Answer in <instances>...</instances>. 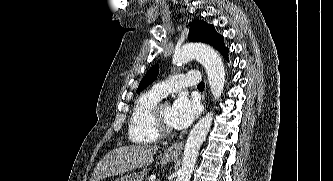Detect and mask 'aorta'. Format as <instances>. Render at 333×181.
I'll list each match as a JSON object with an SVG mask.
<instances>
[{
	"instance_id": "obj_1",
	"label": "aorta",
	"mask_w": 333,
	"mask_h": 181,
	"mask_svg": "<svg viewBox=\"0 0 333 181\" xmlns=\"http://www.w3.org/2000/svg\"><path fill=\"white\" fill-rule=\"evenodd\" d=\"M196 59L206 69L208 81L214 100L219 99L225 85V69L219 54L205 44L184 45L173 56L174 64H182ZM213 121V112L202 117L190 131L186 140L181 168L176 181H190L194 166Z\"/></svg>"
}]
</instances>
